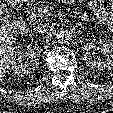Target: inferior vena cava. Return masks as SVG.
Returning <instances> with one entry per match:
<instances>
[{
    "label": "inferior vena cava",
    "instance_id": "602c4592",
    "mask_svg": "<svg viewBox=\"0 0 113 113\" xmlns=\"http://www.w3.org/2000/svg\"><path fill=\"white\" fill-rule=\"evenodd\" d=\"M50 28H51V25L49 23H45V24H40L36 26L34 30L36 33L44 34V33H47Z\"/></svg>",
    "mask_w": 113,
    "mask_h": 113
}]
</instances>
